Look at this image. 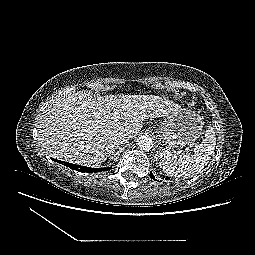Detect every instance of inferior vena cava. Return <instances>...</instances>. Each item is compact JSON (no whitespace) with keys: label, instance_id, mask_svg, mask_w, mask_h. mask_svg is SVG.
I'll return each mask as SVG.
<instances>
[{"label":"inferior vena cava","instance_id":"1","mask_svg":"<svg viewBox=\"0 0 255 255\" xmlns=\"http://www.w3.org/2000/svg\"><path fill=\"white\" fill-rule=\"evenodd\" d=\"M130 139V136L126 133H118L115 137V144L120 145L127 143Z\"/></svg>","mask_w":255,"mask_h":255}]
</instances>
